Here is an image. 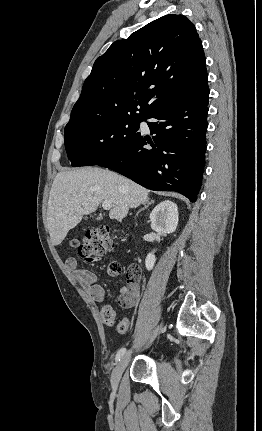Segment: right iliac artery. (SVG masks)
Instances as JSON below:
<instances>
[{
	"mask_svg": "<svg viewBox=\"0 0 262 431\" xmlns=\"http://www.w3.org/2000/svg\"><path fill=\"white\" fill-rule=\"evenodd\" d=\"M125 352H126V349H125V348L120 349V350L117 352V354H116V358H115V360H116V361H120V359H121V358H122V356L125 354Z\"/></svg>",
	"mask_w": 262,
	"mask_h": 431,
	"instance_id": "1",
	"label": "right iliac artery"
}]
</instances>
